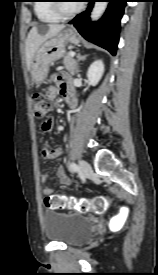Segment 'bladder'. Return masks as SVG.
<instances>
[{
  "instance_id": "1",
  "label": "bladder",
  "mask_w": 158,
  "mask_h": 275,
  "mask_svg": "<svg viewBox=\"0 0 158 275\" xmlns=\"http://www.w3.org/2000/svg\"><path fill=\"white\" fill-rule=\"evenodd\" d=\"M45 237L66 245H78L87 240L93 232L92 221L78 213L45 210L43 213Z\"/></svg>"
}]
</instances>
